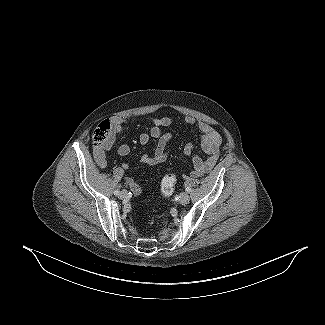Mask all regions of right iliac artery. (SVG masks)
<instances>
[{"label":"right iliac artery","instance_id":"82829eb1","mask_svg":"<svg viewBox=\"0 0 325 325\" xmlns=\"http://www.w3.org/2000/svg\"><path fill=\"white\" fill-rule=\"evenodd\" d=\"M120 191L119 190H115L114 191V195H119Z\"/></svg>","mask_w":325,"mask_h":325}]
</instances>
